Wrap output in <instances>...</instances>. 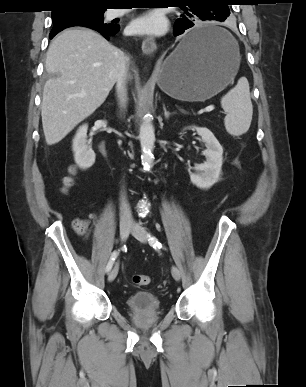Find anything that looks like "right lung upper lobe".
Segmentation results:
<instances>
[{
    "label": "right lung upper lobe",
    "mask_w": 306,
    "mask_h": 387,
    "mask_svg": "<svg viewBox=\"0 0 306 387\" xmlns=\"http://www.w3.org/2000/svg\"><path fill=\"white\" fill-rule=\"evenodd\" d=\"M58 8L52 12H56L65 7L72 6H93L105 8V6L110 4V0H57Z\"/></svg>",
    "instance_id": "right-lung-upper-lobe-1"
}]
</instances>
